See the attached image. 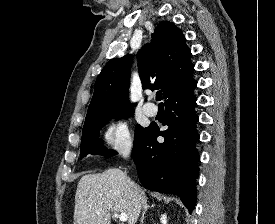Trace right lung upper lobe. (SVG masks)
<instances>
[{
    "mask_svg": "<svg viewBox=\"0 0 275 224\" xmlns=\"http://www.w3.org/2000/svg\"><path fill=\"white\" fill-rule=\"evenodd\" d=\"M181 30L173 22H161L152 43L138 52L143 89H161L166 99L192 79L194 65ZM132 57L111 59L99 74L84 127L108 116L133 111L128 99Z\"/></svg>",
    "mask_w": 275,
    "mask_h": 224,
    "instance_id": "right-lung-upper-lobe-1",
    "label": "right lung upper lobe"
}]
</instances>
